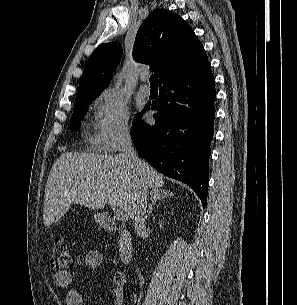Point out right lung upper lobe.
Instances as JSON below:
<instances>
[{
    "label": "right lung upper lobe",
    "mask_w": 297,
    "mask_h": 305,
    "mask_svg": "<svg viewBox=\"0 0 297 305\" xmlns=\"http://www.w3.org/2000/svg\"><path fill=\"white\" fill-rule=\"evenodd\" d=\"M121 54V45L116 42L94 50L81 77L76 101L100 95L109 84ZM133 57L150 65L159 76V85L190 75L209 64L192 28L166 9H156L142 23L136 34Z\"/></svg>",
    "instance_id": "right-lung-upper-lobe-1"
}]
</instances>
